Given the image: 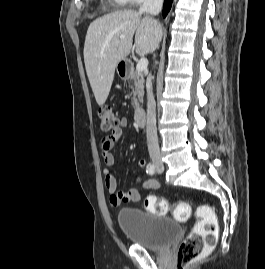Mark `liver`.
<instances>
[{"label": "liver", "instance_id": "1", "mask_svg": "<svg viewBox=\"0 0 265 269\" xmlns=\"http://www.w3.org/2000/svg\"><path fill=\"white\" fill-rule=\"evenodd\" d=\"M134 35L136 53H152L161 41L162 25L134 10H123L97 18L88 27L84 62L99 106L108 98L117 64L131 52Z\"/></svg>", "mask_w": 265, "mask_h": 269}]
</instances>
